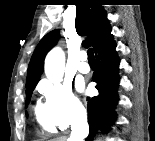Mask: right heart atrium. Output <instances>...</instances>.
<instances>
[{
    "label": "right heart atrium",
    "mask_w": 155,
    "mask_h": 141,
    "mask_svg": "<svg viewBox=\"0 0 155 141\" xmlns=\"http://www.w3.org/2000/svg\"><path fill=\"white\" fill-rule=\"evenodd\" d=\"M39 90L45 98L46 110L53 123L64 130L84 119L83 104L68 83L44 81Z\"/></svg>",
    "instance_id": "d8ad5b80"
}]
</instances>
